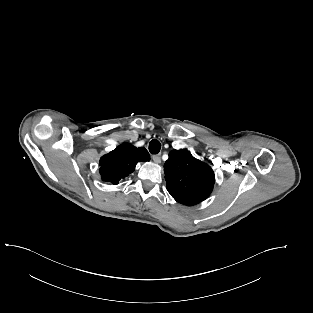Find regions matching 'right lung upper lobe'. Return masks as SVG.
<instances>
[{"mask_svg":"<svg viewBox=\"0 0 313 313\" xmlns=\"http://www.w3.org/2000/svg\"><path fill=\"white\" fill-rule=\"evenodd\" d=\"M149 160L150 155L145 148L123 143L100 158L101 179L116 185L135 170L138 162Z\"/></svg>","mask_w":313,"mask_h":313,"instance_id":"right-lung-upper-lobe-1","label":"right lung upper lobe"}]
</instances>
